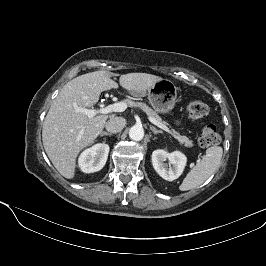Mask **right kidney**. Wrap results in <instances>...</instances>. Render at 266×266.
I'll return each mask as SVG.
<instances>
[{
	"label": "right kidney",
	"mask_w": 266,
	"mask_h": 266,
	"mask_svg": "<svg viewBox=\"0 0 266 266\" xmlns=\"http://www.w3.org/2000/svg\"><path fill=\"white\" fill-rule=\"evenodd\" d=\"M108 153L107 144H95L81 153L78 160L79 167L85 173L100 171L106 164Z\"/></svg>",
	"instance_id": "right-kidney-1"
}]
</instances>
